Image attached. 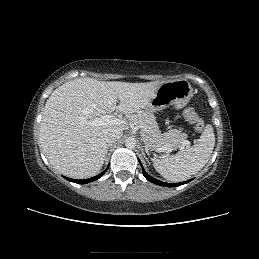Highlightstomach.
<instances>
[{
	"label": "stomach",
	"instance_id": "obj_1",
	"mask_svg": "<svg viewBox=\"0 0 259 259\" xmlns=\"http://www.w3.org/2000/svg\"><path fill=\"white\" fill-rule=\"evenodd\" d=\"M192 95L193 89L186 79L167 81L159 86L155 95L144 109L146 112L151 113L171 106L180 109L188 103Z\"/></svg>",
	"mask_w": 259,
	"mask_h": 259
}]
</instances>
